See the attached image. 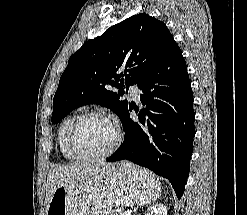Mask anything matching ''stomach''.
Instances as JSON below:
<instances>
[{
	"label": "stomach",
	"mask_w": 247,
	"mask_h": 215,
	"mask_svg": "<svg viewBox=\"0 0 247 215\" xmlns=\"http://www.w3.org/2000/svg\"><path fill=\"white\" fill-rule=\"evenodd\" d=\"M160 182L129 162L113 164L86 187H58L46 215H104L116 206L145 205L159 197Z\"/></svg>",
	"instance_id": "obj_1"
}]
</instances>
